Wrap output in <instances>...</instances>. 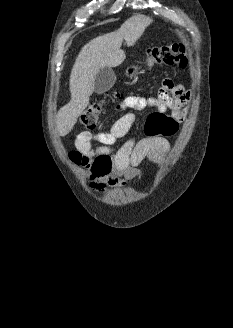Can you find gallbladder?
Instances as JSON below:
<instances>
[{
    "mask_svg": "<svg viewBox=\"0 0 233 328\" xmlns=\"http://www.w3.org/2000/svg\"><path fill=\"white\" fill-rule=\"evenodd\" d=\"M116 76L112 68L105 67L95 75L94 78V92L102 94L108 91L114 85Z\"/></svg>",
    "mask_w": 233,
    "mask_h": 328,
    "instance_id": "bac80fb5",
    "label": "gallbladder"
}]
</instances>
